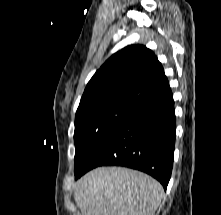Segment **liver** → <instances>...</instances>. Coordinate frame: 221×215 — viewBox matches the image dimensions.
<instances>
[{
  "instance_id": "obj_1",
  "label": "liver",
  "mask_w": 221,
  "mask_h": 215,
  "mask_svg": "<svg viewBox=\"0 0 221 215\" xmlns=\"http://www.w3.org/2000/svg\"><path fill=\"white\" fill-rule=\"evenodd\" d=\"M163 196L157 180L122 167L96 168L74 187L82 215H154Z\"/></svg>"
}]
</instances>
